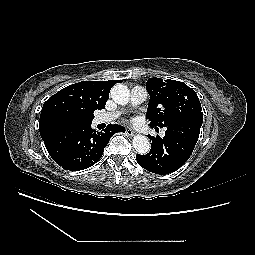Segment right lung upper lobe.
Returning <instances> with one entry per match:
<instances>
[{
	"label": "right lung upper lobe",
	"mask_w": 255,
	"mask_h": 255,
	"mask_svg": "<svg viewBox=\"0 0 255 255\" xmlns=\"http://www.w3.org/2000/svg\"><path fill=\"white\" fill-rule=\"evenodd\" d=\"M112 81H82L69 85L43 105L40 115L41 136L48 130L63 124L91 123L94 111L104 109Z\"/></svg>",
	"instance_id": "right-lung-upper-lobe-1"
}]
</instances>
